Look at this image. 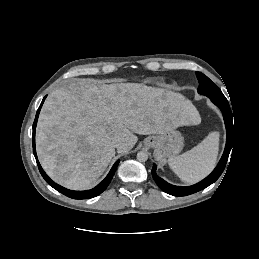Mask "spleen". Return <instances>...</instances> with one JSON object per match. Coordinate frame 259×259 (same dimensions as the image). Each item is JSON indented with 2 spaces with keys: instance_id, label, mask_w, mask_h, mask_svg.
Segmentation results:
<instances>
[{
  "instance_id": "spleen-1",
  "label": "spleen",
  "mask_w": 259,
  "mask_h": 259,
  "mask_svg": "<svg viewBox=\"0 0 259 259\" xmlns=\"http://www.w3.org/2000/svg\"><path fill=\"white\" fill-rule=\"evenodd\" d=\"M219 132L210 133L201 143L168 163L172 171L184 182L196 183L215 167L219 152Z\"/></svg>"
}]
</instances>
